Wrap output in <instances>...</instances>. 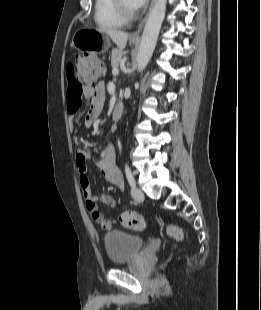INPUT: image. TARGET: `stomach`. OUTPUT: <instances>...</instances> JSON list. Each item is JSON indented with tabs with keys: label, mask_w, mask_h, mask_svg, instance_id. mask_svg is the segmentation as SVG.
Wrapping results in <instances>:
<instances>
[{
	"label": "stomach",
	"mask_w": 261,
	"mask_h": 310,
	"mask_svg": "<svg viewBox=\"0 0 261 310\" xmlns=\"http://www.w3.org/2000/svg\"><path fill=\"white\" fill-rule=\"evenodd\" d=\"M131 43H135L131 41ZM72 45L80 51H93L105 53L110 46L109 36L94 29H81L77 31L72 39Z\"/></svg>",
	"instance_id": "obj_1"
}]
</instances>
